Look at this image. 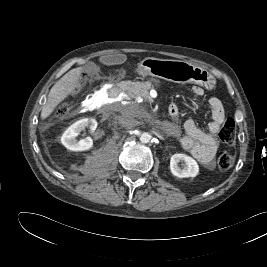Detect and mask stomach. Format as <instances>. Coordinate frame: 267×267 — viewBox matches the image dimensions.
<instances>
[{
  "label": "stomach",
  "instance_id": "0dacf381",
  "mask_svg": "<svg viewBox=\"0 0 267 267\" xmlns=\"http://www.w3.org/2000/svg\"><path fill=\"white\" fill-rule=\"evenodd\" d=\"M138 73L176 83H193L207 89H212L215 85V78L208 70L181 60L147 57L139 63Z\"/></svg>",
  "mask_w": 267,
  "mask_h": 267
}]
</instances>
